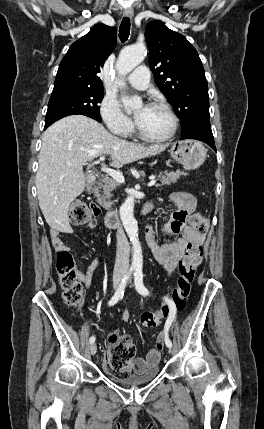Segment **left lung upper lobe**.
I'll return each mask as SVG.
<instances>
[{"label":"left lung upper lobe","instance_id":"1","mask_svg":"<svg viewBox=\"0 0 264 429\" xmlns=\"http://www.w3.org/2000/svg\"><path fill=\"white\" fill-rule=\"evenodd\" d=\"M145 39L155 83L180 118L182 136L210 124L207 80L192 44L161 21L147 25Z\"/></svg>","mask_w":264,"mask_h":429}]
</instances>
